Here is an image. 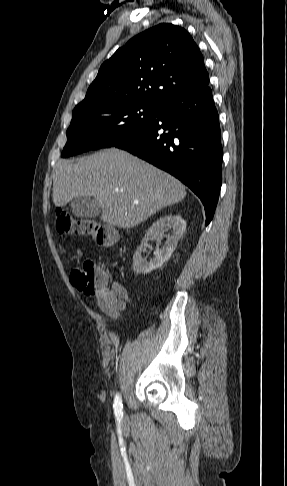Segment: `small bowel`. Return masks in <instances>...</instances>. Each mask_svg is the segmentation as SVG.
Listing matches in <instances>:
<instances>
[{
    "mask_svg": "<svg viewBox=\"0 0 287 486\" xmlns=\"http://www.w3.org/2000/svg\"><path fill=\"white\" fill-rule=\"evenodd\" d=\"M82 252L78 250L77 257H81ZM111 292L115 296L113 302H108L103 299L98 298L97 303L100 309L107 315L118 318L121 313L125 310L127 304L130 302V297L126 288L119 282H113L111 284Z\"/></svg>",
    "mask_w": 287,
    "mask_h": 486,
    "instance_id": "small-bowel-1",
    "label": "small bowel"
}]
</instances>
